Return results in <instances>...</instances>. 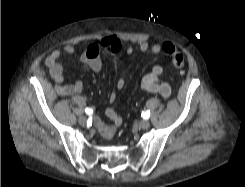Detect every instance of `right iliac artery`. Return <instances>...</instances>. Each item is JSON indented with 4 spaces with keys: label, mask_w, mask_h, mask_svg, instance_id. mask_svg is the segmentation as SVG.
Instances as JSON below:
<instances>
[{
    "label": "right iliac artery",
    "mask_w": 245,
    "mask_h": 187,
    "mask_svg": "<svg viewBox=\"0 0 245 187\" xmlns=\"http://www.w3.org/2000/svg\"><path fill=\"white\" fill-rule=\"evenodd\" d=\"M86 114L91 115L93 113V110L91 108L85 109Z\"/></svg>",
    "instance_id": "1"
}]
</instances>
